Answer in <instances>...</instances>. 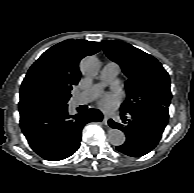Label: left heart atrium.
I'll list each match as a JSON object with an SVG mask.
<instances>
[{
	"label": "left heart atrium",
	"mask_w": 194,
	"mask_h": 193,
	"mask_svg": "<svg viewBox=\"0 0 194 193\" xmlns=\"http://www.w3.org/2000/svg\"><path fill=\"white\" fill-rule=\"evenodd\" d=\"M118 95L114 93H105L99 100V105L104 110H112L118 104Z\"/></svg>",
	"instance_id": "1"
}]
</instances>
